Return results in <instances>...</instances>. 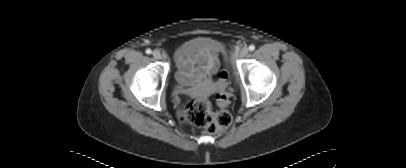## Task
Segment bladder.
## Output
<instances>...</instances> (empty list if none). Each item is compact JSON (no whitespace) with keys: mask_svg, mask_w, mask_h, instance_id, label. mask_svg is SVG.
Listing matches in <instances>:
<instances>
[{"mask_svg":"<svg viewBox=\"0 0 406 168\" xmlns=\"http://www.w3.org/2000/svg\"><path fill=\"white\" fill-rule=\"evenodd\" d=\"M217 43L209 38L206 37H197L194 39H191L185 43H183L180 48L178 49V54H184L186 52H189L194 49H210L212 47H215ZM177 68L178 64L176 62ZM182 79V78H181Z\"/></svg>","mask_w":406,"mask_h":168,"instance_id":"bladder-1","label":"bladder"}]
</instances>
